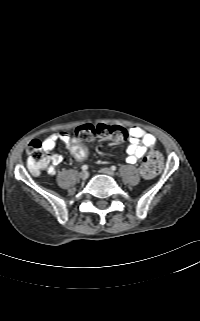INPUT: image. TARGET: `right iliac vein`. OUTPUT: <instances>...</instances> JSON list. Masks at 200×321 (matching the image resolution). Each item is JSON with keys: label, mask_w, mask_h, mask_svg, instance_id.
<instances>
[{"label": "right iliac vein", "mask_w": 200, "mask_h": 321, "mask_svg": "<svg viewBox=\"0 0 200 321\" xmlns=\"http://www.w3.org/2000/svg\"><path fill=\"white\" fill-rule=\"evenodd\" d=\"M79 176L82 180H86L89 176V173L87 171H82L80 172Z\"/></svg>", "instance_id": "right-iliac-vein-1"}]
</instances>
